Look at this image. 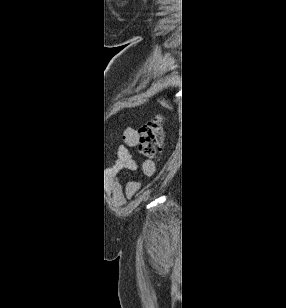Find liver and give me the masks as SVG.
<instances>
[{
  "mask_svg": "<svg viewBox=\"0 0 286 308\" xmlns=\"http://www.w3.org/2000/svg\"><path fill=\"white\" fill-rule=\"evenodd\" d=\"M159 102L164 106V107H167L169 109H172V105L168 104L167 101H165L164 99L163 100H159Z\"/></svg>",
  "mask_w": 286,
  "mask_h": 308,
  "instance_id": "obj_1",
  "label": "liver"
}]
</instances>
